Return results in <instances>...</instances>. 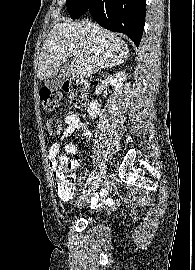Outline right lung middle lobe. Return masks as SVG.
I'll return each instance as SVG.
<instances>
[{
  "label": "right lung middle lobe",
  "mask_w": 195,
  "mask_h": 270,
  "mask_svg": "<svg viewBox=\"0 0 195 270\" xmlns=\"http://www.w3.org/2000/svg\"><path fill=\"white\" fill-rule=\"evenodd\" d=\"M67 10L72 19L87 12L89 8V0H66Z\"/></svg>",
  "instance_id": "right-lung-middle-lobe-1"
}]
</instances>
